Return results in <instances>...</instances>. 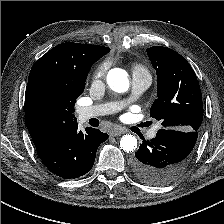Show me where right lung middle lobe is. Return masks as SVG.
I'll use <instances>...</instances> for the list:
<instances>
[{
  "mask_svg": "<svg viewBox=\"0 0 224 224\" xmlns=\"http://www.w3.org/2000/svg\"><path fill=\"white\" fill-rule=\"evenodd\" d=\"M87 75L88 72L74 81L55 75L34 79L27 85L25 114L40 124L74 117V103L84 91Z\"/></svg>",
  "mask_w": 224,
  "mask_h": 224,
  "instance_id": "right-lung-middle-lobe-1",
  "label": "right lung middle lobe"
}]
</instances>
